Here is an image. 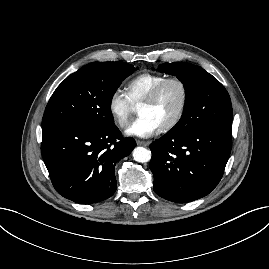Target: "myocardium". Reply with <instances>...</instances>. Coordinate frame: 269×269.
<instances>
[{"instance_id":"obj_1","label":"myocardium","mask_w":269,"mask_h":269,"mask_svg":"<svg viewBox=\"0 0 269 269\" xmlns=\"http://www.w3.org/2000/svg\"><path fill=\"white\" fill-rule=\"evenodd\" d=\"M171 83H176L180 86L182 91V102L176 116L169 123L165 124L160 128L163 132H167L175 128L181 122L186 113L189 103V88L187 83L179 77L166 78L165 80L157 84L140 103V105L153 104L158 99L163 89Z\"/></svg>"}]
</instances>
